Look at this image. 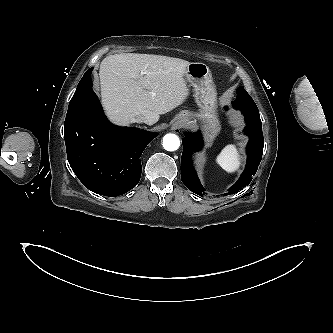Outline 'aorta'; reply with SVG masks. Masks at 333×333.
<instances>
[{"label": "aorta", "mask_w": 333, "mask_h": 333, "mask_svg": "<svg viewBox=\"0 0 333 333\" xmlns=\"http://www.w3.org/2000/svg\"><path fill=\"white\" fill-rule=\"evenodd\" d=\"M162 145L167 151H175L180 146L179 137L176 134H166L163 137Z\"/></svg>", "instance_id": "aorta-1"}]
</instances>
